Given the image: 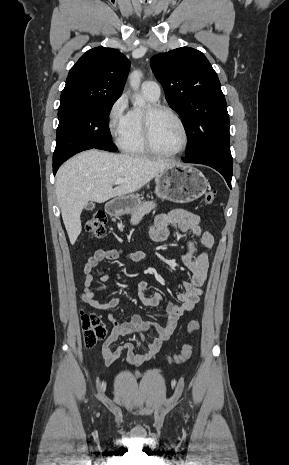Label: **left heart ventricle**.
<instances>
[{"label": "left heart ventricle", "instance_id": "obj_1", "mask_svg": "<svg viewBox=\"0 0 289 465\" xmlns=\"http://www.w3.org/2000/svg\"><path fill=\"white\" fill-rule=\"evenodd\" d=\"M152 137L156 148L165 153L175 152L183 144L182 129L168 113H159L153 117Z\"/></svg>", "mask_w": 289, "mask_h": 465}]
</instances>
